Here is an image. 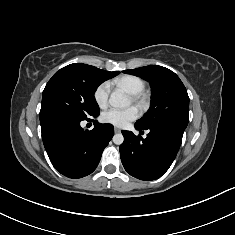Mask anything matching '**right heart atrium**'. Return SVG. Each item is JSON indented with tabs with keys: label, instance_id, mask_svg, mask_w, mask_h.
<instances>
[{
	"label": "right heart atrium",
	"instance_id": "right-heart-atrium-1",
	"mask_svg": "<svg viewBox=\"0 0 235 235\" xmlns=\"http://www.w3.org/2000/svg\"><path fill=\"white\" fill-rule=\"evenodd\" d=\"M111 84L108 81L99 84L94 91V100L100 108H105L108 104Z\"/></svg>",
	"mask_w": 235,
	"mask_h": 235
}]
</instances>
